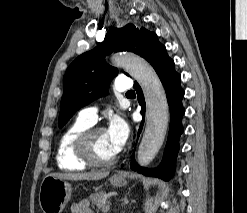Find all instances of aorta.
Here are the masks:
<instances>
[{
	"instance_id": "1",
	"label": "aorta",
	"mask_w": 247,
	"mask_h": 213,
	"mask_svg": "<svg viewBox=\"0 0 247 213\" xmlns=\"http://www.w3.org/2000/svg\"><path fill=\"white\" fill-rule=\"evenodd\" d=\"M117 67H123L141 86L146 102V127L138 148L137 161L147 166L161 148L169 122L165 90L151 65L133 53L113 56Z\"/></svg>"
}]
</instances>
